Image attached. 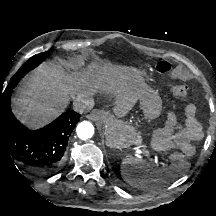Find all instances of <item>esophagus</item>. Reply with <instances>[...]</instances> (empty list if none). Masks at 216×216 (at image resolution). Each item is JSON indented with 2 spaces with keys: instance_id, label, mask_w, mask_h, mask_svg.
Masks as SVG:
<instances>
[{
  "instance_id": "34e87169",
  "label": "esophagus",
  "mask_w": 216,
  "mask_h": 216,
  "mask_svg": "<svg viewBox=\"0 0 216 216\" xmlns=\"http://www.w3.org/2000/svg\"><path fill=\"white\" fill-rule=\"evenodd\" d=\"M106 112L102 111V110H95L92 111L87 118L93 121H99V120H103L106 118Z\"/></svg>"
}]
</instances>
